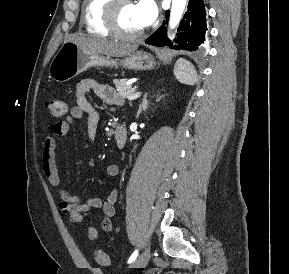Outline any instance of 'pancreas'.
Wrapping results in <instances>:
<instances>
[{"mask_svg":"<svg viewBox=\"0 0 289 274\" xmlns=\"http://www.w3.org/2000/svg\"><path fill=\"white\" fill-rule=\"evenodd\" d=\"M126 79L116 80L114 82L116 91L118 95L122 98H128L131 94H134L137 87H132L131 85H127Z\"/></svg>","mask_w":289,"mask_h":274,"instance_id":"pancreas-1","label":"pancreas"}]
</instances>
